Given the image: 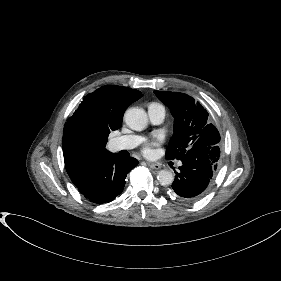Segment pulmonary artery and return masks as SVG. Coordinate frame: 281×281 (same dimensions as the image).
<instances>
[{
  "mask_svg": "<svg viewBox=\"0 0 281 281\" xmlns=\"http://www.w3.org/2000/svg\"><path fill=\"white\" fill-rule=\"evenodd\" d=\"M148 115L151 123L158 125L165 118V109L160 105L151 104L148 107ZM142 138L135 135H125L117 137L112 142V147L115 151L130 150L140 144Z\"/></svg>",
  "mask_w": 281,
  "mask_h": 281,
  "instance_id": "1",
  "label": "pulmonary artery"
}]
</instances>
